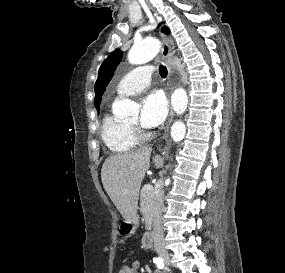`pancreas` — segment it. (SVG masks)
Returning <instances> with one entry per match:
<instances>
[{"mask_svg":"<svg viewBox=\"0 0 285 273\" xmlns=\"http://www.w3.org/2000/svg\"><path fill=\"white\" fill-rule=\"evenodd\" d=\"M153 200V187L149 190H145L144 188H142L140 192V211L144 217L146 227H150L151 224Z\"/></svg>","mask_w":285,"mask_h":273,"instance_id":"pancreas-1","label":"pancreas"}]
</instances>
